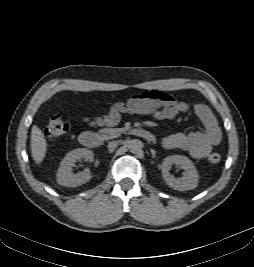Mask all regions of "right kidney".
Wrapping results in <instances>:
<instances>
[{
    "instance_id": "1",
    "label": "right kidney",
    "mask_w": 254,
    "mask_h": 267,
    "mask_svg": "<svg viewBox=\"0 0 254 267\" xmlns=\"http://www.w3.org/2000/svg\"><path fill=\"white\" fill-rule=\"evenodd\" d=\"M80 159L85 161L92 160L93 152L85 148H78L67 153L57 171L56 178L58 184L66 187H76L85 184L91 179V173L88 169L76 174L72 172L75 163Z\"/></svg>"
}]
</instances>
